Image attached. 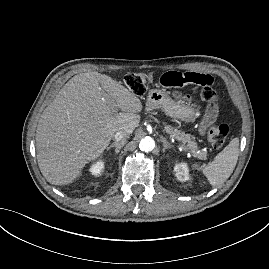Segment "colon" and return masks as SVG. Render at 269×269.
<instances>
[{
  "label": "colon",
  "mask_w": 269,
  "mask_h": 269,
  "mask_svg": "<svg viewBox=\"0 0 269 269\" xmlns=\"http://www.w3.org/2000/svg\"><path fill=\"white\" fill-rule=\"evenodd\" d=\"M151 80L152 75L150 73H131L125 77L124 83L135 94L143 95ZM201 97L203 100L213 104H218L222 100L221 93L210 88L203 89ZM228 132L229 128L226 124L212 125L207 131V140L214 149H219L225 144Z\"/></svg>",
  "instance_id": "obj_1"
}]
</instances>
